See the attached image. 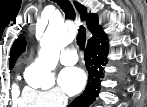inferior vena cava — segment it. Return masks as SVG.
Wrapping results in <instances>:
<instances>
[{
  "mask_svg": "<svg viewBox=\"0 0 147 107\" xmlns=\"http://www.w3.org/2000/svg\"><path fill=\"white\" fill-rule=\"evenodd\" d=\"M62 102H63L62 107H65L67 105V97L66 96L62 97Z\"/></svg>",
  "mask_w": 147,
  "mask_h": 107,
  "instance_id": "inferior-vena-cava-1",
  "label": "inferior vena cava"
}]
</instances>
